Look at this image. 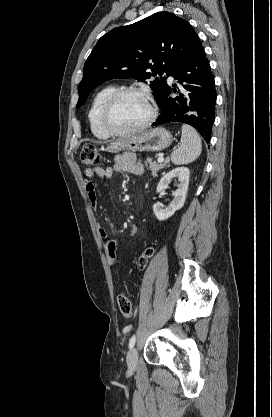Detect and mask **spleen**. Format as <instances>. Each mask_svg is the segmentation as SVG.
<instances>
[{
  "instance_id": "spleen-1",
  "label": "spleen",
  "mask_w": 272,
  "mask_h": 417,
  "mask_svg": "<svg viewBox=\"0 0 272 417\" xmlns=\"http://www.w3.org/2000/svg\"><path fill=\"white\" fill-rule=\"evenodd\" d=\"M201 151L202 141L197 131L189 125H182L181 145L172 152V163L175 165L191 163L200 156Z\"/></svg>"
}]
</instances>
